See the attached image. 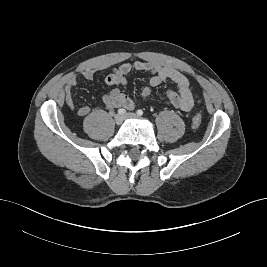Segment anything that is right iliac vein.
Returning <instances> with one entry per match:
<instances>
[{"instance_id":"right-iliac-vein-1","label":"right iliac vein","mask_w":267,"mask_h":267,"mask_svg":"<svg viewBox=\"0 0 267 267\" xmlns=\"http://www.w3.org/2000/svg\"><path fill=\"white\" fill-rule=\"evenodd\" d=\"M124 118H125L124 115H122V114H117V115L115 116V123H116L117 125L122 124Z\"/></svg>"}]
</instances>
